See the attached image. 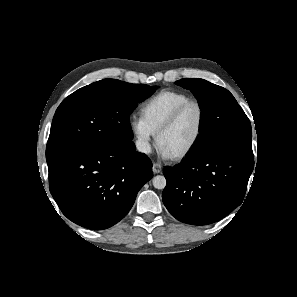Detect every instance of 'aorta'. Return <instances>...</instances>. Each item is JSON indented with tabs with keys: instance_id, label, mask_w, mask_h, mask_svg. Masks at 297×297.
<instances>
[{
	"instance_id": "aorta-1",
	"label": "aorta",
	"mask_w": 297,
	"mask_h": 297,
	"mask_svg": "<svg viewBox=\"0 0 297 297\" xmlns=\"http://www.w3.org/2000/svg\"><path fill=\"white\" fill-rule=\"evenodd\" d=\"M152 183L156 189H164L166 186V179L162 175H157L153 178Z\"/></svg>"
}]
</instances>
